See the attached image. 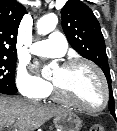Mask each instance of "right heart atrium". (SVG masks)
Segmentation results:
<instances>
[{
  "label": "right heart atrium",
  "mask_w": 117,
  "mask_h": 131,
  "mask_svg": "<svg viewBox=\"0 0 117 131\" xmlns=\"http://www.w3.org/2000/svg\"><path fill=\"white\" fill-rule=\"evenodd\" d=\"M16 85L22 95L33 100H40L46 97L51 90L50 83L32 75L24 67L18 69Z\"/></svg>",
  "instance_id": "obj_1"
}]
</instances>
